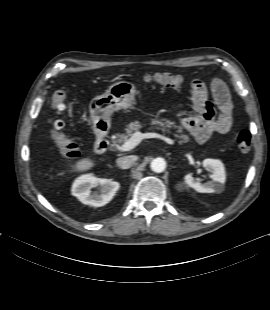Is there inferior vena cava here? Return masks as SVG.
Instances as JSON below:
<instances>
[{"mask_svg": "<svg viewBox=\"0 0 270 310\" xmlns=\"http://www.w3.org/2000/svg\"><path fill=\"white\" fill-rule=\"evenodd\" d=\"M135 162L134 156H124L120 157L116 160L117 166L121 169H128L130 168Z\"/></svg>", "mask_w": 270, "mask_h": 310, "instance_id": "1", "label": "inferior vena cava"}]
</instances>
